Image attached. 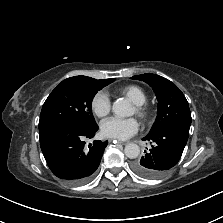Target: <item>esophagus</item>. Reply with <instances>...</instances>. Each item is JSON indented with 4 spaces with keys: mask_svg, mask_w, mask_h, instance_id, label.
Returning <instances> with one entry per match:
<instances>
[{
    "mask_svg": "<svg viewBox=\"0 0 223 223\" xmlns=\"http://www.w3.org/2000/svg\"><path fill=\"white\" fill-rule=\"evenodd\" d=\"M109 141L110 142H118L119 144H122V145H125L127 143L125 141H116V140H113V139H110Z\"/></svg>",
    "mask_w": 223,
    "mask_h": 223,
    "instance_id": "obj_1",
    "label": "esophagus"
}]
</instances>
